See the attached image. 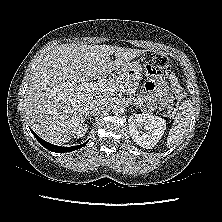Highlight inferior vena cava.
<instances>
[{"label": "inferior vena cava", "mask_w": 222, "mask_h": 222, "mask_svg": "<svg viewBox=\"0 0 222 222\" xmlns=\"http://www.w3.org/2000/svg\"><path fill=\"white\" fill-rule=\"evenodd\" d=\"M108 105V99L105 96L97 95L89 103V110L92 113H98Z\"/></svg>", "instance_id": "obj_1"}]
</instances>
